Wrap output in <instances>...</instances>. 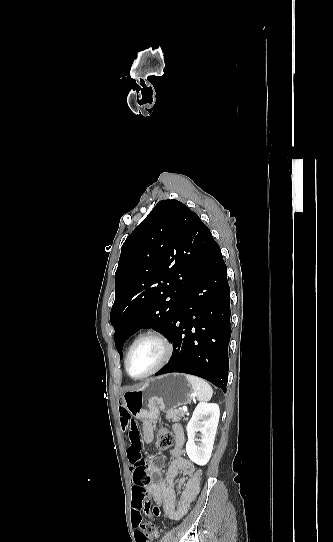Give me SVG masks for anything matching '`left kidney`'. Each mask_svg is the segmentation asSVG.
Returning <instances> with one entry per match:
<instances>
[{"label":"left kidney","mask_w":333,"mask_h":542,"mask_svg":"<svg viewBox=\"0 0 333 542\" xmlns=\"http://www.w3.org/2000/svg\"><path fill=\"white\" fill-rule=\"evenodd\" d=\"M220 410L218 404H205L200 402L196 406L190 422L187 424L188 442L186 444V452L188 458L198 466H206L208 464L217 432ZM200 432V440H196L195 436ZM201 442V444H196Z\"/></svg>","instance_id":"1"}]
</instances>
